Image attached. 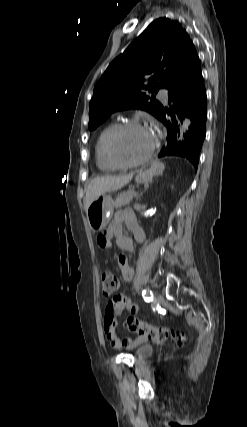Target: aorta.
<instances>
[{"instance_id":"762f6f07","label":"aorta","mask_w":247,"mask_h":427,"mask_svg":"<svg viewBox=\"0 0 247 427\" xmlns=\"http://www.w3.org/2000/svg\"><path fill=\"white\" fill-rule=\"evenodd\" d=\"M188 126H189V122H185V124H184V130H186V129H188ZM182 137L180 136V138L179 139H181Z\"/></svg>"}]
</instances>
